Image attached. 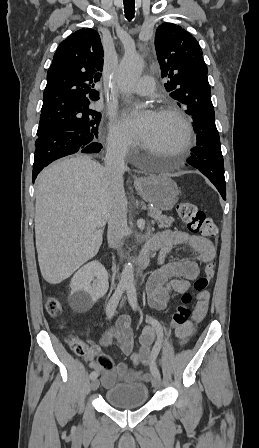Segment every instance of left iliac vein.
I'll use <instances>...</instances> for the list:
<instances>
[{
    "label": "left iliac vein",
    "instance_id": "obj_1",
    "mask_svg": "<svg viewBox=\"0 0 259 448\" xmlns=\"http://www.w3.org/2000/svg\"><path fill=\"white\" fill-rule=\"evenodd\" d=\"M152 384H153V386H154L156 389L161 388V386H162V382H161L160 377H154L153 380H152Z\"/></svg>",
    "mask_w": 259,
    "mask_h": 448
}]
</instances>
